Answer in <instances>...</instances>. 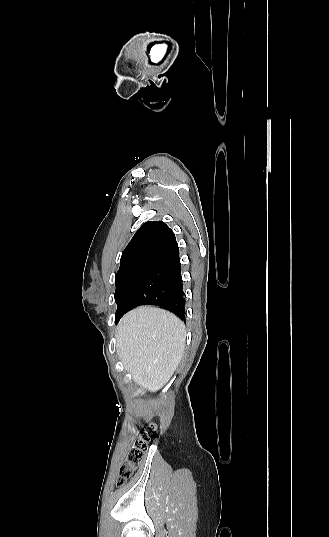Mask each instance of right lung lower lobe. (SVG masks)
I'll use <instances>...</instances> for the list:
<instances>
[{
  "label": "right lung lower lobe",
  "mask_w": 329,
  "mask_h": 537,
  "mask_svg": "<svg viewBox=\"0 0 329 537\" xmlns=\"http://www.w3.org/2000/svg\"><path fill=\"white\" fill-rule=\"evenodd\" d=\"M141 304L159 305L185 321V298L178 246L150 262L136 277L123 297L115 322L131 308Z\"/></svg>",
  "instance_id": "1"
}]
</instances>
